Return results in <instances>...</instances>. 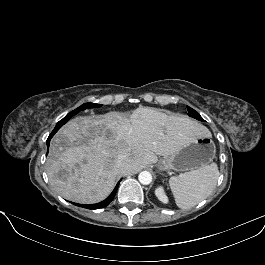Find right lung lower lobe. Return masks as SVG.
<instances>
[{
	"instance_id": "98d812e1",
	"label": "right lung lower lobe",
	"mask_w": 265,
	"mask_h": 265,
	"mask_svg": "<svg viewBox=\"0 0 265 265\" xmlns=\"http://www.w3.org/2000/svg\"><path fill=\"white\" fill-rule=\"evenodd\" d=\"M60 127L61 126H56L54 128V130L51 132V134L49 135V137L47 139V147H49L51 138L60 129ZM120 181L118 182V184L114 188L113 192L104 201H102L100 203H96V204H78V203H72V204H74L76 206H79V207L87 208V209H99V208H103V207L107 206L113 200V198H114V196H115V194L117 192V189H118V186H119Z\"/></svg>"
}]
</instances>
